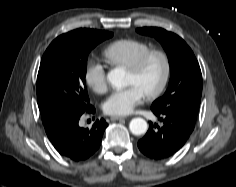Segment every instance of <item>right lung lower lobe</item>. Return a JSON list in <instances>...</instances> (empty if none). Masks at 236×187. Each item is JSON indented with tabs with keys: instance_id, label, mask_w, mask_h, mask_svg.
Returning a JSON list of instances; mask_svg holds the SVG:
<instances>
[{
	"instance_id": "98d812e1",
	"label": "right lung lower lobe",
	"mask_w": 236,
	"mask_h": 187,
	"mask_svg": "<svg viewBox=\"0 0 236 187\" xmlns=\"http://www.w3.org/2000/svg\"><path fill=\"white\" fill-rule=\"evenodd\" d=\"M95 109L90 105L84 113L93 114ZM81 115L61 125L50 138L55 149L65 158L82 162L91 157L99 148L105 128L104 119L97 120L91 129L79 127Z\"/></svg>"
}]
</instances>
